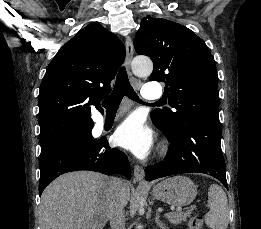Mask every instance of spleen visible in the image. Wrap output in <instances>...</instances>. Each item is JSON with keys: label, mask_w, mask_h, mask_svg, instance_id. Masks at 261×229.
Listing matches in <instances>:
<instances>
[{"label": "spleen", "mask_w": 261, "mask_h": 229, "mask_svg": "<svg viewBox=\"0 0 261 229\" xmlns=\"http://www.w3.org/2000/svg\"><path fill=\"white\" fill-rule=\"evenodd\" d=\"M208 205L210 211L205 215L207 227H210V229H227L229 223L227 195L219 185L209 187Z\"/></svg>", "instance_id": "3e777b00"}]
</instances>
